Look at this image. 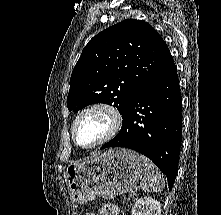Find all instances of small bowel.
<instances>
[{
	"mask_svg": "<svg viewBox=\"0 0 221 215\" xmlns=\"http://www.w3.org/2000/svg\"><path fill=\"white\" fill-rule=\"evenodd\" d=\"M85 215H121L117 206L108 204L103 206L98 212H87Z\"/></svg>",
	"mask_w": 221,
	"mask_h": 215,
	"instance_id": "1",
	"label": "small bowel"
}]
</instances>
